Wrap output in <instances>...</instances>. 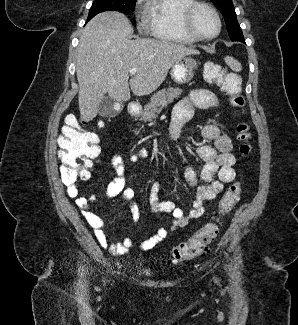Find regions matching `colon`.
<instances>
[{"label":"colon","mask_w":298,"mask_h":325,"mask_svg":"<svg viewBox=\"0 0 298 325\" xmlns=\"http://www.w3.org/2000/svg\"><path fill=\"white\" fill-rule=\"evenodd\" d=\"M204 79L218 86L237 116L245 114V98L241 93L239 77L220 64L207 62L203 68ZM250 127L246 122L236 126V137L241 142L240 153L244 156L252 152ZM60 174L67 186L76 185L79 180L90 176L92 161L99 155L98 138L94 132L81 127L75 116H68L58 140ZM242 192L241 181L234 182L221 198L216 217L200 228L190 239L175 246L171 252L173 262H182L201 254L217 237L219 217L227 215L236 206Z\"/></svg>","instance_id":"1"}]
</instances>
